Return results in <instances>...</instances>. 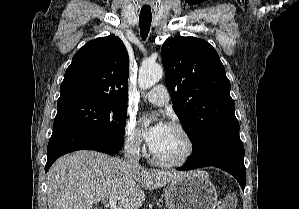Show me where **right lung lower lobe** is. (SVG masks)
<instances>
[{"label":"right lung lower lobe","mask_w":299,"mask_h":209,"mask_svg":"<svg viewBox=\"0 0 299 209\" xmlns=\"http://www.w3.org/2000/svg\"><path fill=\"white\" fill-rule=\"evenodd\" d=\"M124 137L104 133H93L68 124L53 126V133L47 148L45 172L60 156L76 150H96L106 154H115L123 146Z\"/></svg>","instance_id":"right-lung-lower-lobe-1"}]
</instances>
